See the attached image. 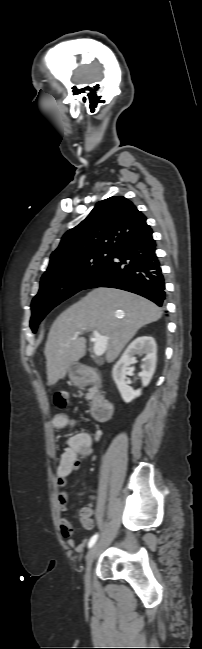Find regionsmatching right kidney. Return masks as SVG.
<instances>
[{
  "mask_svg": "<svg viewBox=\"0 0 202 649\" xmlns=\"http://www.w3.org/2000/svg\"><path fill=\"white\" fill-rule=\"evenodd\" d=\"M157 346L153 337L142 335L135 338L125 349L119 361L112 370L113 380L125 402H130L141 395V389L134 390L126 383L128 366L135 364V355H145L143 358L142 372L140 373L142 385L147 386L155 372Z\"/></svg>",
  "mask_w": 202,
  "mask_h": 649,
  "instance_id": "1",
  "label": "right kidney"
}]
</instances>
